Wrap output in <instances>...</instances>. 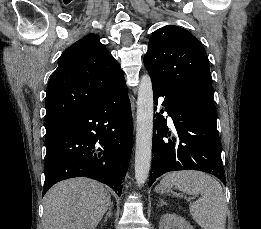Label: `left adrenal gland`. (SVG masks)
I'll list each match as a JSON object with an SVG mask.
<instances>
[{
    "label": "left adrenal gland",
    "mask_w": 261,
    "mask_h": 229,
    "mask_svg": "<svg viewBox=\"0 0 261 229\" xmlns=\"http://www.w3.org/2000/svg\"><path fill=\"white\" fill-rule=\"evenodd\" d=\"M159 201H160L159 207H163V205H167V203H165L164 199H159Z\"/></svg>",
    "instance_id": "left-adrenal-gland-1"
}]
</instances>
